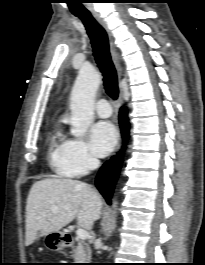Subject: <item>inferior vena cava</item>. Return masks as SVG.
<instances>
[{
  "mask_svg": "<svg viewBox=\"0 0 205 265\" xmlns=\"http://www.w3.org/2000/svg\"><path fill=\"white\" fill-rule=\"evenodd\" d=\"M100 162L96 158H92L90 161V167L91 168H97L99 166Z\"/></svg>",
  "mask_w": 205,
  "mask_h": 265,
  "instance_id": "obj_1",
  "label": "inferior vena cava"
}]
</instances>
